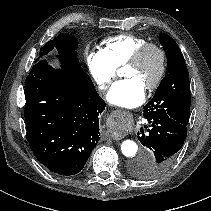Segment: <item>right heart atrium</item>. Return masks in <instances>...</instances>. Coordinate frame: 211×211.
I'll list each match as a JSON object with an SVG mask.
<instances>
[{
	"label": "right heart atrium",
	"mask_w": 211,
	"mask_h": 211,
	"mask_svg": "<svg viewBox=\"0 0 211 211\" xmlns=\"http://www.w3.org/2000/svg\"><path fill=\"white\" fill-rule=\"evenodd\" d=\"M90 75L100 90H106L116 77L115 66L102 50L91 49L86 53Z\"/></svg>",
	"instance_id": "d8ad5b80"
}]
</instances>
